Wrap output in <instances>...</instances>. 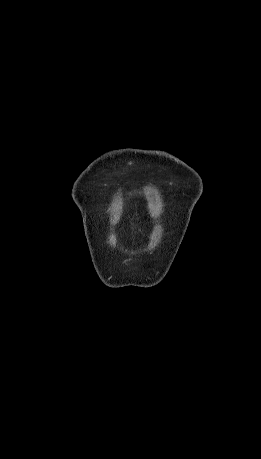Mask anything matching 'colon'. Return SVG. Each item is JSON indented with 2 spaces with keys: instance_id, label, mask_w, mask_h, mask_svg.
I'll use <instances>...</instances> for the list:
<instances>
[{
  "instance_id": "1",
  "label": "colon",
  "mask_w": 261,
  "mask_h": 459,
  "mask_svg": "<svg viewBox=\"0 0 261 459\" xmlns=\"http://www.w3.org/2000/svg\"><path fill=\"white\" fill-rule=\"evenodd\" d=\"M144 224H145V225H148V224H149V221H148V220H145V221H144ZM132 230L134 231L135 229L133 228ZM132 230H131L130 228H127V229L125 230V233H126L127 235H130V234L132 233Z\"/></svg>"
}]
</instances>
